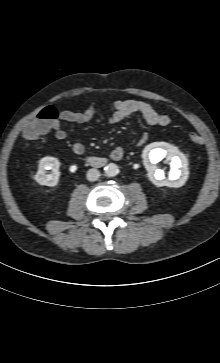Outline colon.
Listing matches in <instances>:
<instances>
[{"label": "colon", "mask_w": 220, "mask_h": 363, "mask_svg": "<svg viewBox=\"0 0 220 363\" xmlns=\"http://www.w3.org/2000/svg\"><path fill=\"white\" fill-rule=\"evenodd\" d=\"M59 118V112L56 107L48 105L43 107L37 115L29 121L23 128V135L27 139H36L50 130L53 123ZM190 140L196 145L203 143V138L196 134H190Z\"/></svg>", "instance_id": "5ec220e1"}]
</instances>
